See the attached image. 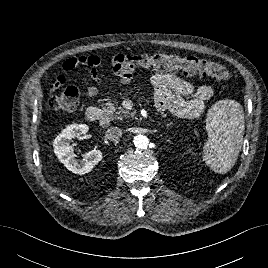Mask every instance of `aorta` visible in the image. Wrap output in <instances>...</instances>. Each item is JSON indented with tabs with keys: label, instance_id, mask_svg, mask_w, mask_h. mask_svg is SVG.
Wrapping results in <instances>:
<instances>
[{
	"label": "aorta",
	"instance_id": "1",
	"mask_svg": "<svg viewBox=\"0 0 268 268\" xmlns=\"http://www.w3.org/2000/svg\"><path fill=\"white\" fill-rule=\"evenodd\" d=\"M133 142L138 149H146L149 144V139L147 136L139 134L134 137Z\"/></svg>",
	"mask_w": 268,
	"mask_h": 268
}]
</instances>
